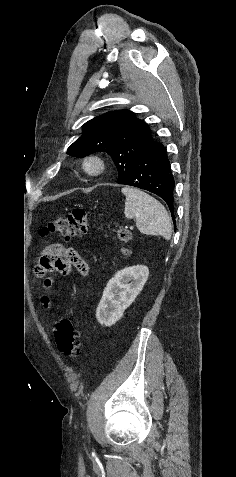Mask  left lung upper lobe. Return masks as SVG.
Returning <instances> with one entry per match:
<instances>
[{"label": "left lung upper lobe", "instance_id": "5c2ea615", "mask_svg": "<svg viewBox=\"0 0 236 477\" xmlns=\"http://www.w3.org/2000/svg\"><path fill=\"white\" fill-rule=\"evenodd\" d=\"M83 135L67 153L82 158L106 152L118 171V182L128 174L134 159L153 141L149 127L129 110L110 111L86 122Z\"/></svg>", "mask_w": 236, "mask_h": 477}]
</instances>
